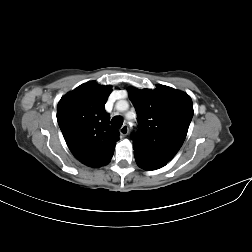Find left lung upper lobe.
Returning a JSON list of instances; mask_svg holds the SVG:
<instances>
[{
    "label": "left lung upper lobe",
    "instance_id": "left-lung-upper-lobe-1",
    "mask_svg": "<svg viewBox=\"0 0 252 252\" xmlns=\"http://www.w3.org/2000/svg\"><path fill=\"white\" fill-rule=\"evenodd\" d=\"M128 92L138 116L133 149L169 162L181 148L193 117L190 96L165 85L154 90L131 87Z\"/></svg>",
    "mask_w": 252,
    "mask_h": 252
}]
</instances>
